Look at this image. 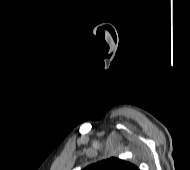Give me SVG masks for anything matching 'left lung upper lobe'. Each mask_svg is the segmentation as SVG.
Returning <instances> with one entry per match:
<instances>
[{
	"label": "left lung upper lobe",
	"instance_id": "obj_1",
	"mask_svg": "<svg viewBox=\"0 0 190 170\" xmlns=\"http://www.w3.org/2000/svg\"><path fill=\"white\" fill-rule=\"evenodd\" d=\"M83 170H139L134 164L111 157L85 167Z\"/></svg>",
	"mask_w": 190,
	"mask_h": 170
}]
</instances>
